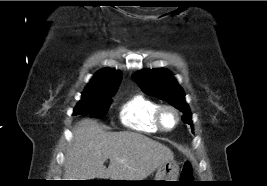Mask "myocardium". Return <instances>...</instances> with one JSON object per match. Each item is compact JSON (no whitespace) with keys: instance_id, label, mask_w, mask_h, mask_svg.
<instances>
[{"instance_id":"myocardium-1","label":"myocardium","mask_w":267,"mask_h":186,"mask_svg":"<svg viewBox=\"0 0 267 186\" xmlns=\"http://www.w3.org/2000/svg\"><path fill=\"white\" fill-rule=\"evenodd\" d=\"M167 110L172 111L176 117V121H175L174 125L170 128L165 127V125L163 124V114ZM154 120H155V123H156V125L160 131L170 132V131L174 130L179 125L180 120H181V116H180V113L176 107H174L172 105L164 104V105H160L157 108V110L155 112Z\"/></svg>"}]
</instances>
